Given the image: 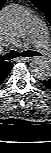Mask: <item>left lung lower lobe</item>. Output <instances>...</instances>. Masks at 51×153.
I'll return each instance as SVG.
<instances>
[{"mask_svg": "<svg viewBox=\"0 0 51 153\" xmlns=\"http://www.w3.org/2000/svg\"><path fill=\"white\" fill-rule=\"evenodd\" d=\"M41 83L48 89H51V78L48 80H43Z\"/></svg>", "mask_w": 51, "mask_h": 153, "instance_id": "left-lung-lower-lobe-1", "label": "left lung lower lobe"}]
</instances>
